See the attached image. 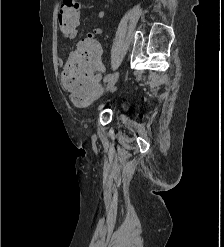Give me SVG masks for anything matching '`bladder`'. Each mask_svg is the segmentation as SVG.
Instances as JSON below:
<instances>
[{
    "mask_svg": "<svg viewBox=\"0 0 224 247\" xmlns=\"http://www.w3.org/2000/svg\"><path fill=\"white\" fill-rule=\"evenodd\" d=\"M119 109H120L121 111H125V110H126V105H125L124 103H120V104H119Z\"/></svg>",
    "mask_w": 224,
    "mask_h": 247,
    "instance_id": "31cf9c89",
    "label": "bladder"
}]
</instances>
